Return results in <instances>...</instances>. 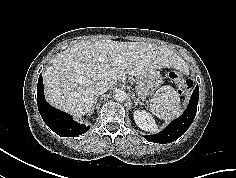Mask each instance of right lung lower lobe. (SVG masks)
Returning a JSON list of instances; mask_svg holds the SVG:
<instances>
[{
    "label": "right lung lower lobe",
    "mask_w": 236,
    "mask_h": 178,
    "mask_svg": "<svg viewBox=\"0 0 236 178\" xmlns=\"http://www.w3.org/2000/svg\"><path fill=\"white\" fill-rule=\"evenodd\" d=\"M37 104L44 122L59 136L75 137L89 130V126L72 120L65 112L50 106L44 97L43 80L40 74L37 86Z\"/></svg>",
    "instance_id": "98d812e1"
}]
</instances>
